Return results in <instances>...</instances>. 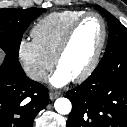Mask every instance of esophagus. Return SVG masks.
Segmentation results:
<instances>
[{
  "instance_id": "esophagus-1",
  "label": "esophagus",
  "mask_w": 127,
  "mask_h": 127,
  "mask_svg": "<svg viewBox=\"0 0 127 127\" xmlns=\"http://www.w3.org/2000/svg\"><path fill=\"white\" fill-rule=\"evenodd\" d=\"M60 95H61L60 92H50L49 97H50V100H54L57 97H59Z\"/></svg>"
}]
</instances>
